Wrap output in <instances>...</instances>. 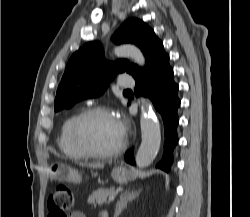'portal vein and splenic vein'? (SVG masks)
Here are the masks:
<instances>
[{
  "label": "portal vein and splenic vein",
  "mask_w": 250,
  "mask_h": 217,
  "mask_svg": "<svg viewBox=\"0 0 250 217\" xmlns=\"http://www.w3.org/2000/svg\"><path fill=\"white\" fill-rule=\"evenodd\" d=\"M114 199H115V195H111V196H109L108 201L111 202V201H113Z\"/></svg>",
  "instance_id": "18ae733b"
}]
</instances>
